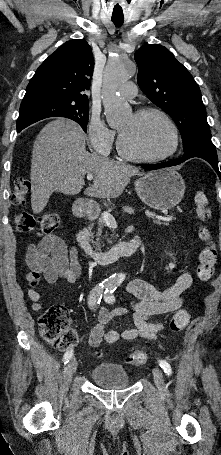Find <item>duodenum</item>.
<instances>
[{"mask_svg": "<svg viewBox=\"0 0 221 455\" xmlns=\"http://www.w3.org/2000/svg\"><path fill=\"white\" fill-rule=\"evenodd\" d=\"M98 213L99 207L85 200L81 201L76 207V214L86 218L88 223L95 220ZM77 241L89 258L102 264H110L122 256H130L134 254L140 246V239L134 238L130 241L120 242L109 249L96 250L90 243L87 226L79 230Z\"/></svg>", "mask_w": 221, "mask_h": 455, "instance_id": "obj_1", "label": "duodenum"}]
</instances>
